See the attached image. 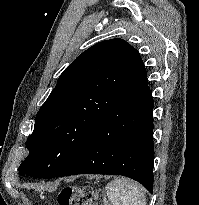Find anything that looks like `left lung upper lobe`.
<instances>
[{"instance_id":"left-lung-upper-lobe-1","label":"left lung upper lobe","mask_w":199,"mask_h":205,"mask_svg":"<svg viewBox=\"0 0 199 205\" xmlns=\"http://www.w3.org/2000/svg\"><path fill=\"white\" fill-rule=\"evenodd\" d=\"M142 59L122 39L104 40L80 54L60 75L36 114L21 175L53 178L79 155L89 137L133 85Z\"/></svg>"}]
</instances>
